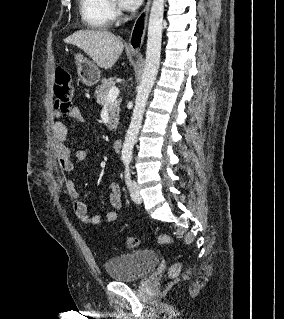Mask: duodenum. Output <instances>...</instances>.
<instances>
[{"mask_svg": "<svg viewBox=\"0 0 284 319\" xmlns=\"http://www.w3.org/2000/svg\"><path fill=\"white\" fill-rule=\"evenodd\" d=\"M123 147V140L122 139H116L113 142V148L115 151H120Z\"/></svg>", "mask_w": 284, "mask_h": 319, "instance_id": "1", "label": "duodenum"}]
</instances>
